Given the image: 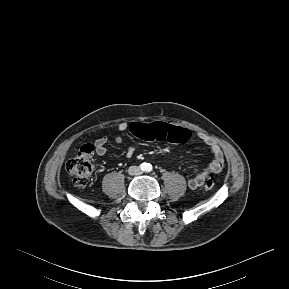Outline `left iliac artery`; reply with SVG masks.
Instances as JSON below:
<instances>
[{
  "label": "left iliac artery",
  "instance_id": "obj_1",
  "mask_svg": "<svg viewBox=\"0 0 289 289\" xmlns=\"http://www.w3.org/2000/svg\"><path fill=\"white\" fill-rule=\"evenodd\" d=\"M152 169H153V168H152V165H151V164H149V165L147 166V169H146V171H147V172H151V171H152Z\"/></svg>",
  "mask_w": 289,
  "mask_h": 289
}]
</instances>
